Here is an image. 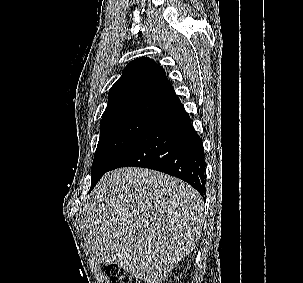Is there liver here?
I'll use <instances>...</instances> for the list:
<instances>
[{"label":"liver","mask_w":303,"mask_h":283,"mask_svg":"<svg viewBox=\"0 0 303 283\" xmlns=\"http://www.w3.org/2000/svg\"><path fill=\"white\" fill-rule=\"evenodd\" d=\"M201 195L167 174L144 168L106 173L83 210L90 254L147 283H161L190 254L204 222Z\"/></svg>","instance_id":"liver-1"}]
</instances>
